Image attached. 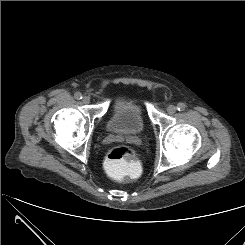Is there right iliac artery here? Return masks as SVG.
Segmentation results:
<instances>
[{
  "label": "right iliac artery",
  "instance_id": "obj_1",
  "mask_svg": "<svg viewBox=\"0 0 245 245\" xmlns=\"http://www.w3.org/2000/svg\"><path fill=\"white\" fill-rule=\"evenodd\" d=\"M75 98H76L77 100L82 99V94H81L80 92L75 93Z\"/></svg>",
  "mask_w": 245,
  "mask_h": 245
}]
</instances>
